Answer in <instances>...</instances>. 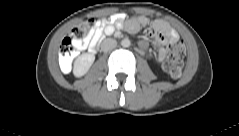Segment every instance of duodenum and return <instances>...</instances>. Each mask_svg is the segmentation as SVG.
I'll use <instances>...</instances> for the list:
<instances>
[{
	"label": "duodenum",
	"instance_id": "1",
	"mask_svg": "<svg viewBox=\"0 0 239 136\" xmlns=\"http://www.w3.org/2000/svg\"><path fill=\"white\" fill-rule=\"evenodd\" d=\"M99 49V44L97 43V41L90 47V52L91 53H96Z\"/></svg>",
	"mask_w": 239,
	"mask_h": 136
}]
</instances>
